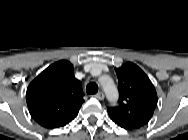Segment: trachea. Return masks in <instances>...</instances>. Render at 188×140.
<instances>
[{
	"mask_svg": "<svg viewBox=\"0 0 188 140\" xmlns=\"http://www.w3.org/2000/svg\"><path fill=\"white\" fill-rule=\"evenodd\" d=\"M86 92L88 94H95L98 92V86L96 83L91 82L86 86Z\"/></svg>",
	"mask_w": 188,
	"mask_h": 140,
	"instance_id": "obj_1",
	"label": "trachea"
}]
</instances>
